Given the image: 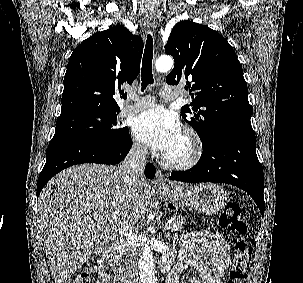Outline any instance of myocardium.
Segmentation results:
<instances>
[{
  "label": "myocardium",
  "instance_id": "f54148a6",
  "mask_svg": "<svg viewBox=\"0 0 303 283\" xmlns=\"http://www.w3.org/2000/svg\"><path fill=\"white\" fill-rule=\"evenodd\" d=\"M188 144L187 154L179 159H173L166 154L162 157V163L165 167L173 170H187L194 167L200 160L203 152L202 141L198 133L187 128L182 134Z\"/></svg>",
  "mask_w": 303,
  "mask_h": 283
}]
</instances>
